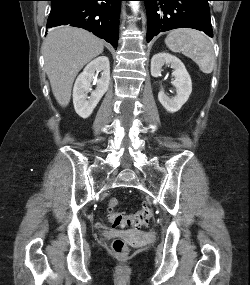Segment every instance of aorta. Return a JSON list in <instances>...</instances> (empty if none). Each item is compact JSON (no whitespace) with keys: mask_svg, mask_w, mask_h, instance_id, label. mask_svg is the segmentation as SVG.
I'll list each match as a JSON object with an SVG mask.
<instances>
[{"mask_svg":"<svg viewBox=\"0 0 250 285\" xmlns=\"http://www.w3.org/2000/svg\"><path fill=\"white\" fill-rule=\"evenodd\" d=\"M132 11L136 14L139 10V1H130Z\"/></svg>","mask_w":250,"mask_h":285,"instance_id":"aorta-1","label":"aorta"}]
</instances>
